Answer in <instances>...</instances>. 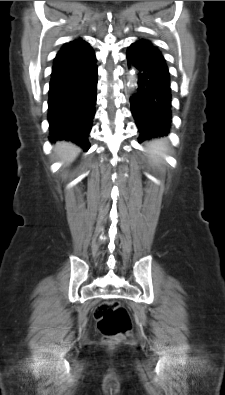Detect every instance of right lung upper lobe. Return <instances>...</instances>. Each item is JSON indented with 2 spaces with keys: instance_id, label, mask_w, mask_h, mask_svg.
<instances>
[{
  "instance_id": "1",
  "label": "right lung upper lobe",
  "mask_w": 225,
  "mask_h": 395,
  "mask_svg": "<svg viewBox=\"0 0 225 395\" xmlns=\"http://www.w3.org/2000/svg\"><path fill=\"white\" fill-rule=\"evenodd\" d=\"M94 59L95 54L90 44L84 40L75 39L64 44L57 53L52 74L82 68Z\"/></svg>"
}]
</instances>
